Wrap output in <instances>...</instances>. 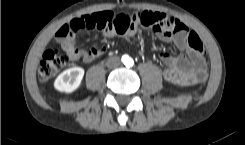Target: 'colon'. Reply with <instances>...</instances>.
<instances>
[{
  "mask_svg": "<svg viewBox=\"0 0 245 145\" xmlns=\"http://www.w3.org/2000/svg\"><path fill=\"white\" fill-rule=\"evenodd\" d=\"M137 26L165 27L175 34H181L187 31L186 26L178 19L147 11H139L136 15L121 13L114 19H109L104 14L90 15L87 17L86 23L87 29L95 27L101 31L110 30L118 34L126 33ZM80 29L81 25L78 17L74 18L59 29L58 37L60 39L69 37L72 34L78 33ZM188 44L199 52L204 49L202 41L194 32L189 33ZM66 62L67 58L61 54L58 48H48L44 52L39 64V78L44 81L50 79Z\"/></svg>",
  "mask_w": 245,
  "mask_h": 145,
  "instance_id": "1",
  "label": "colon"
}]
</instances>
